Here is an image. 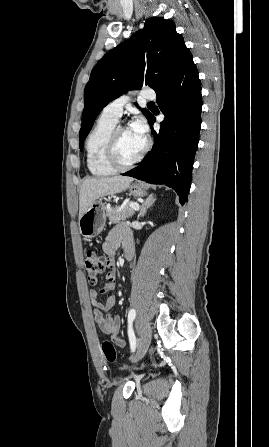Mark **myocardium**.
<instances>
[{
	"label": "myocardium",
	"instance_id": "f54148a6",
	"mask_svg": "<svg viewBox=\"0 0 269 447\" xmlns=\"http://www.w3.org/2000/svg\"><path fill=\"white\" fill-rule=\"evenodd\" d=\"M125 127H129V126L115 125L108 136L107 145H106V159H107L108 163L117 170L129 169V168H132L133 166H135L136 164L140 163L145 158V156L149 152L151 145H152L151 139L149 137H146V146L143 149V151L141 152V154L132 162H129V163L122 162L119 157L118 146H117V137H118V133L120 132V130H122Z\"/></svg>",
	"mask_w": 269,
	"mask_h": 447
}]
</instances>
